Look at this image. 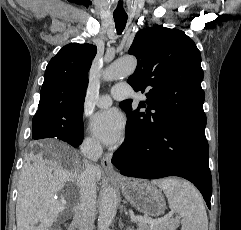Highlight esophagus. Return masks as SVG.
<instances>
[{"label": "esophagus", "instance_id": "obj_1", "mask_svg": "<svg viewBox=\"0 0 241 230\" xmlns=\"http://www.w3.org/2000/svg\"><path fill=\"white\" fill-rule=\"evenodd\" d=\"M111 159H112V153H106L101 159V165L107 173L115 174L111 164Z\"/></svg>", "mask_w": 241, "mask_h": 230}]
</instances>
